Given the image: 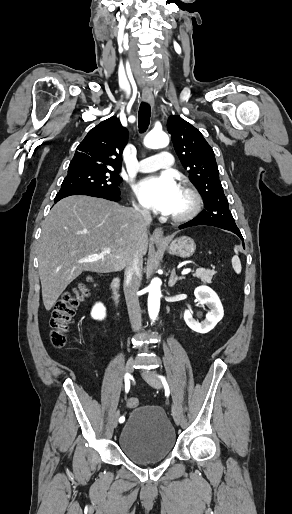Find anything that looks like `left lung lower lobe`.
Masks as SVG:
<instances>
[{
    "label": "left lung lower lobe",
    "instance_id": "1",
    "mask_svg": "<svg viewBox=\"0 0 292 514\" xmlns=\"http://www.w3.org/2000/svg\"><path fill=\"white\" fill-rule=\"evenodd\" d=\"M196 225H210V226L219 227V228H222V229H225V230H229V231L235 233L236 235H238L240 237V239L242 241H244L243 237H242V234H241L239 229L229 228L227 226L216 224V223H212V222H201V221L198 220L197 217L192 219L191 221L185 223V224L180 225L179 229H183V228H187V227H191V226H196Z\"/></svg>",
    "mask_w": 292,
    "mask_h": 514
}]
</instances>
